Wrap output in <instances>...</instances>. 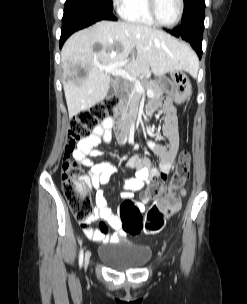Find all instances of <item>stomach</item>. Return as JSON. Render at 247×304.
Returning a JSON list of instances; mask_svg holds the SVG:
<instances>
[{
    "label": "stomach",
    "mask_w": 247,
    "mask_h": 304,
    "mask_svg": "<svg viewBox=\"0 0 247 304\" xmlns=\"http://www.w3.org/2000/svg\"><path fill=\"white\" fill-rule=\"evenodd\" d=\"M163 88L176 104L185 102L192 93V86L188 76L179 70L171 72V82L166 83Z\"/></svg>",
    "instance_id": "stomach-1"
}]
</instances>
